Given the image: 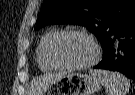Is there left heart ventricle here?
<instances>
[{"instance_id": "left-heart-ventricle-1", "label": "left heart ventricle", "mask_w": 135, "mask_h": 95, "mask_svg": "<svg viewBox=\"0 0 135 95\" xmlns=\"http://www.w3.org/2000/svg\"><path fill=\"white\" fill-rule=\"evenodd\" d=\"M58 61L68 65L88 62L94 55L91 42L79 35H67L61 38L54 48Z\"/></svg>"}]
</instances>
